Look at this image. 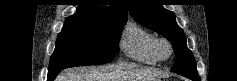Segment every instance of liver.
Returning <instances> with one entry per match:
<instances>
[{"label": "liver", "instance_id": "6515ba94", "mask_svg": "<svg viewBox=\"0 0 237 81\" xmlns=\"http://www.w3.org/2000/svg\"><path fill=\"white\" fill-rule=\"evenodd\" d=\"M163 74L136 66H86L64 70L58 81H156Z\"/></svg>", "mask_w": 237, "mask_h": 81}]
</instances>
